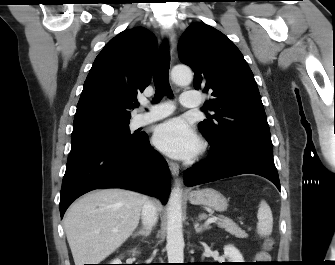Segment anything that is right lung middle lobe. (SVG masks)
Listing matches in <instances>:
<instances>
[{
    "label": "right lung middle lobe",
    "mask_w": 335,
    "mask_h": 265,
    "mask_svg": "<svg viewBox=\"0 0 335 265\" xmlns=\"http://www.w3.org/2000/svg\"><path fill=\"white\" fill-rule=\"evenodd\" d=\"M129 122H97L73 127L71 148L88 144H120L135 140L130 134Z\"/></svg>",
    "instance_id": "1"
}]
</instances>
